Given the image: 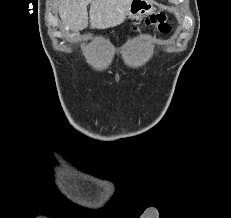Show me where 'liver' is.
I'll return each instance as SVG.
<instances>
[{
    "label": "liver",
    "instance_id": "6515ba94",
    "mask_svg": "<svg viewBox=\"0 0 231 218\" xmlns=\"http://www.w3.org/2000/svg\"><path fill=\"white\" fill-rule=\"evenodd\" d=\"M132 0H60L58 10L65 30L78 31L88 26L90 3L92 28L107 29L119 25L126 17Z\"/></svg>",
    "mask_w": 231,
    "mask_h": 218
}]
</instances>
